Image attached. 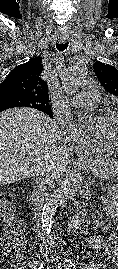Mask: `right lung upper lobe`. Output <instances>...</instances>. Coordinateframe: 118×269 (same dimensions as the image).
Returning a JSON list of instances; mask_svg holds the SVG:
<instances>
[{"instance_id": "right-lung-upper-lobe-1", "label": "right lung upper lobe", "mask_w": 118, "mask_h": 269, "mask_svg": "<svg viewBox=\"0 0 118 269\" xmlns=\"http://www.w3.org/2000/svg\"><path fill=\"white\" fill-rule=\"evenodd\" d=\"M42 58L34 57L25 64L15 67L0 84V101L4 95L20 94L39 102L48 103V85L42 79ZM53 117L52 111L45 112Z\"/></svg>"}]
</instances>
